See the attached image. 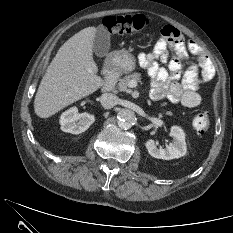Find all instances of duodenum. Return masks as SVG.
Segmentation results:
<instances>
[{
  "instance_id": "1",
  "label": "duodenum",
  "mask_w": 233,
  "mask_h": 233,
  "mask_svg": "<svg viewBox=\"0 0 233 233\" xmlns=\"http://www.w3.org/2000/svg\"><path fill=\"white\" fill-rule=\"evenodd\" d=\"M117 78H118L117 69L114 66H112L110 63H106L104 67L103 90L111 91L116 84Z\"/></svg>"
}]
</instances>
